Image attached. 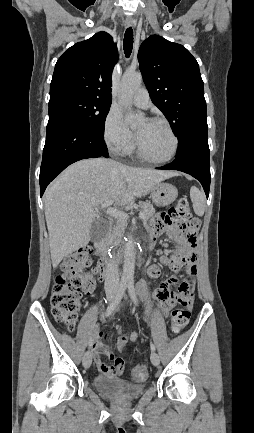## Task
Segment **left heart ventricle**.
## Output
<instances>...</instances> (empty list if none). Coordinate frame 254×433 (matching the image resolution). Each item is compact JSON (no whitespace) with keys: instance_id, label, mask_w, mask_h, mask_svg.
I'll use <instances>...</instances> for the list:
<instances>
[{"instance_id":"obj_1","label":"left heart ventricle","mask_w":254,"mask_h":433,"mask_svg":"<svg viewBox=\"0 0 254 433\" xmlns=\"http://www.w3.org/2000/svg\"><path fill=\"white\" fill-rule=\"evenodd\" d=\"M137 139L144 152L153 159L167 157L173 148V139L159 123L141 121L135 128Z\"/></svg>"}]
</instances>
